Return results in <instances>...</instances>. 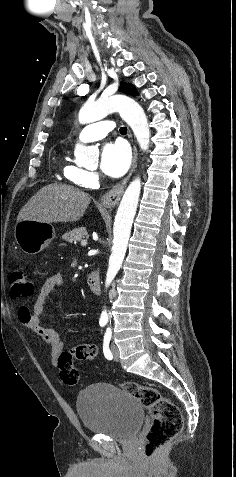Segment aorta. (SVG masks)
Returning a JSON list of instances; mask_svg holds the SVG:
<instances>
[{
    "instance_id": "aorta-1",
    "label": "aorta",
    "mask_w": 236,
    "mask_h": 477,
    "mask_svg": "<svg viewBox=\"0 0 236 477\" xmlns=\"http://www.w3.org/2000/svg\"><path fill=\"white\" fill-rule=\"evenodd\" d=\"M112 112H118L122 119L131 127L140 148L146 151L150 142V129L147 117L142 107L132 98L125 95H113L100 98L95 102L86 103L79 111L78 119L81 124H87L103 119ZM74 154L82 161L96 159L99 151L77 143ZM141 191V180L135 178L125 190L120 202L113 227V248L109 258L105 286L108 287L118 273L127 250L132 223L135 217ZM102 318H107V311L101 313Z\"/></svg>"
}]
</instances>
